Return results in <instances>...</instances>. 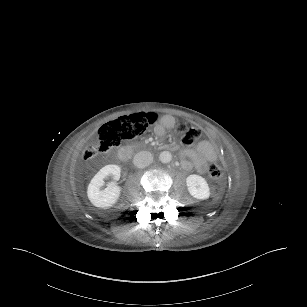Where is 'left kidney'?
Here are the masks:
<instances>
[{
	"label": "left kidney",
	"mask_w": 307,
	"mask_h": 307,
	"mask_svg": "<svg viewBox=\"0 0 307 307\" xmlns=\"http://www.w3.org/2000/svg\"><path fill=\"white\" fill-rule=\"evenodd\" d=\"M186 186L189 194L198 200H206L210 197V187L205 178L197 174L186 177Z\"/></svg>",
	"instance_id": "obj_1"
}]
</instances>
